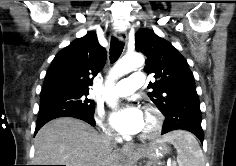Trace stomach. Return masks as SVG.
<instances>
[{
    "label": "stomach",
    "instance_id": "1",
    "mask_svg": "<svg viewBox=\"0 0 236 166\" xmlns=\"http://www.w3.org/2000/svg\"><path fill=\"white\" fill-rule=\"evenodd\" d=\"M169 153V147L163 142H153L140 151V156L147 158L146 166H159L161 159Z\"/></svg>",
    "mask_w": 236,
    "mask_h": 166
}]
</instances>
